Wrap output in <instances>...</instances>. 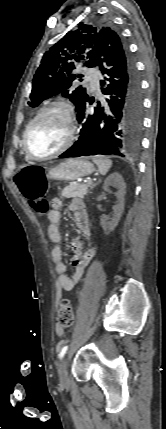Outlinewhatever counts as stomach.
Instances as JSON below:
<instances>
[{
	"label": "stomach",
	"mask_w": 166,
	"mask_h": 429,
	"mask_svg": "<svg viewBox=\"0 0 166 429\" xmlns=\"http://www.w3.org/2000/svg\"><path fill=\"white\" fill-rule=\"evenodd\" d=\"M94 165L83 159H68L58 166L51 168L47 174L50 180L74 181L83 176L92 174Z\"/></svg>",
	"instance_id": "0dacf381"
}]
</instances>
